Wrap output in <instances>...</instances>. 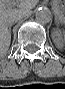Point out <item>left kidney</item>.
Segmentation results:
<instances>
[{
    "label": "left kidney",
    "mask_w": 65,
    "mask_h": 89,
    "mask_svg": "<svg viewBox=\"0 0 65 89\" xmlns=\"http://www.w3.org/2000/svg\"><path fill=\"white\" fill-rule=\"evenodd\" d=\"M58 36L53 38V42L59 50H63L65 48V32L62 30H58Z\"/></svg>",
    "instance_id": "left-kidney-1"
}]
</instances>
